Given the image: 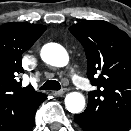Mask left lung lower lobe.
<instances>
[{"label":"left lung lower lobe","mask_w":131,"mask_h":131,"mask_svg":"<svg viewBox=\"0 0 131 131\" xmlns=\"http://www.w3.org/2000/svg\"><path fill=\"white\" fill-rule=\"evenodd\" d=\"M74 121L82 128L83 131H108L101 125L93 121L86 113L74 116Z\"/></svg>","instance_id":"obj_1"}]
</instances>
